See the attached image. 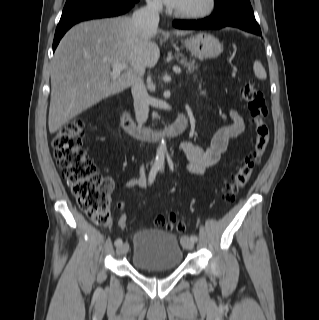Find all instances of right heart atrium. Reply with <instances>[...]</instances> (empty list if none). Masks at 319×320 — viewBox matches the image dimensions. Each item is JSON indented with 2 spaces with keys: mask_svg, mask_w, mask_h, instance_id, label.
I'll return each mask as SVG.
<instances>
[{
  "mask_svg": "<svg viewBox=\"0 0 319 320\" xmlns=\"http://www.w3.org/2000/svg\"><path fill=\"white\" fill-rule=\"evenodd\" d=\"M147 5L151 10L159 11L162 9L161 0H147Z\"/></svg>",
  "mask_w": 319,
  "mask_h": 320,
  "instance_id": "right-heart-atrium-1",
  "label": "right heart atrium"
}]
</instances>
